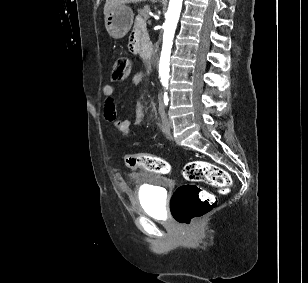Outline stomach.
Listing matches in <instances>:
<instances>
[{
	"mask_svg": "<svg viewBox=\"0 0 308 283\" xmlns=\"http://www.w3.org/2000/svg\"><path fill=\"white\" fill-rule=\"evenodd\" d=\"M133 17L130 7L125 4L118 5L105 16V28L112 38H123L131 29Z\"/></svg>",
	"mask_w": 308,
	"mask_h": 283,
	"instance_id": "stomach-1",
	"label": "stomach"
}]
</instances>
